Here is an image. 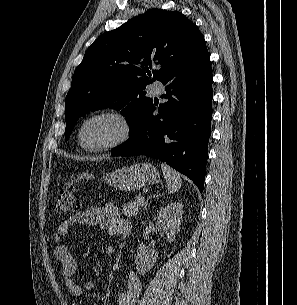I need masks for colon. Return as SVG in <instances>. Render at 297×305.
Masks as SVG:
<instances>
[{"label": "colon", "instance_id": "5ec220e1", "mask_svg": "<svg viewBox=\"0 0 297 305\" xmlns=\"http://www.w3.org/2000/svg\"><path fill=\"white\" fill-rule=\"evenodd\" d=\"M86 173L79 174L74 177L72 182L68 184L58 195L55 212L58 216L71 214L79 209V201L75 195V184L89 180Z\"/></svg>", "mask_w": 297, "mask_h": 305}]
</instances>
